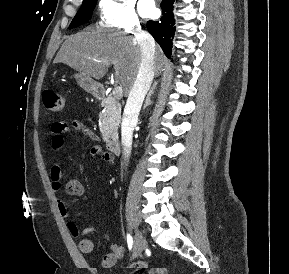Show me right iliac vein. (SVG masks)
<instances>
[{
	"mask_svg": "<svg viewBox=\"0 0 289 274\" xmlns=\"http://www.w3.org/2000/svg\"><path fill=\"white\" fill-rule=\"evenodd\" d=\"M146 245L147 242L145 237L143 236L142 232L136 228L132 258H137L142 253Z\"/></svg>",
	"mask_w": 289,
	"mask_h": 274,
	"instance_id": "1",
	"label": "right iliac vein"
}]
</instances>
